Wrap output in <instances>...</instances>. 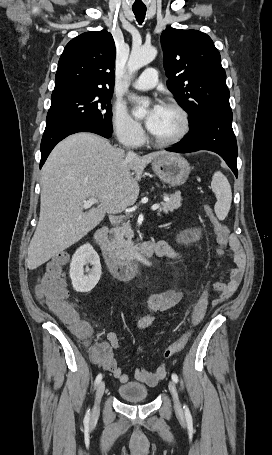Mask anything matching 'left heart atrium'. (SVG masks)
Masks as SVG:
<instances>
[{"label":"left heart atrium","mask_w":272,"mask_h":455,"mask_svg":"<svg viewBox=\"0 0 272 455\" xmlns=\"http://www.w3.org/2000/svg\"><path fill=\"white\" fill-rule=\"evenodd\" d=\"M163 106L159 103H155L152 105L149 114L145 120V124L147 129L150 132H153L157 126V123L159 121L161 112H162Z\"/></svg>","instance_id":"1"}]
</instances>
